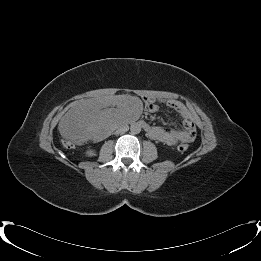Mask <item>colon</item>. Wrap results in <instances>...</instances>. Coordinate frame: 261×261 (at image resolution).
<instances>
[{"instance_id": "1", "label": "colon", "mask_w": 261, "mask_h": 261, "mask_svg": "<svg viewBox=\"0 0 261 261\" xmlns=\"http://www.w3.org/2000/svg\"><path fill=\"white\" fill-rule=\"evenodd\" d=\"M180 152H185L188 149V144L186 142H179L177 146Z\"/></svg>"}]
</instances>
